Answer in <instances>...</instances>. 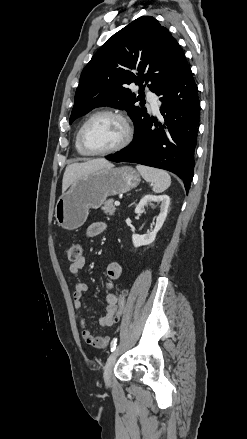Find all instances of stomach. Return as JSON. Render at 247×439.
Wrapping results in <instances>:
<instances>
[{
  "mask_svg": "<svg viewBox=\"0 0 247 439\" xmlns=\"http://www.w3.org/2000/svg\"><path fill=\"white\" fill-rule=\"evenodd\" d=\"M139 173L130 166L104 167L76 179L57 200L55 218L59 226L75 230L83 225L89 209H97L107 197L125 193L140 183Z\"/></svg>",
  "mask_w": 247,
  "mask_h": 439,
  "instance_id": "0dacf381",
  "label": "stomach"
}]
</instances>
